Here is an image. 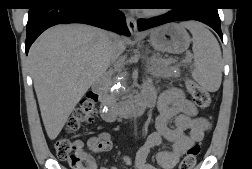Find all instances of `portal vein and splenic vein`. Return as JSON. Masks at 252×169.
I'll return each instance as SVG.
<instances>
[{
    "instance_id": "18ae733b",
    "label": "portal vein and splenic vein",
    "mask_w": 252,
    "mask_h": 169,
    "mask_svg": "<svg viewBox=\"0 0 252 169\" xmlns=\"http://www.w3.org/2000/svg\"><path fill=\"white\" fill-rule=\"evenodd\" d=\"M191 60H192V55L191 54L187 55L186 61L187 62H191Z\"/></svg>"
}]
</instances>
